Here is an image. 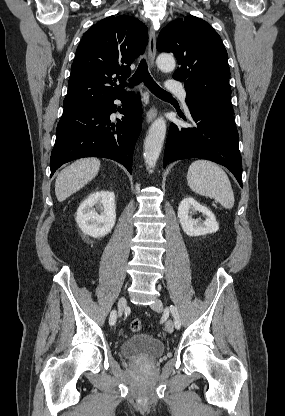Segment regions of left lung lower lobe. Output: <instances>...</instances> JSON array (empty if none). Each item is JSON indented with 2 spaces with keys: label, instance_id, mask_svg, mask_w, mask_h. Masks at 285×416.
<instances>
[{
  "label": "left lung lower lobe",
  "instance_id": "obj_1",
  "mask_svg": "<svg viewBox=\"0 0 285 416\" xmlns=\"http://www.w3.org/2000/svg\"><path fill=\"white\" fill-rule=\"evenodd\" d=\"M196 123L193 128L170 125L164 155L169 162L201 158L227 167L242 187V162L238 131L232 109L211 106H188Z\"/></svg>",
  "mask_w": 285,
  "mask_h": 416
}]
</instances>
